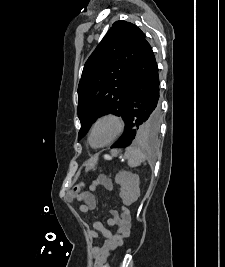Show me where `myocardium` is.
Listing matches in <instances>:
<instances>
[{
    "mask_svg": "<svg viewBox=\"0 0 225 267\" xmlns=\"http://www.w3.org/2000/svg\"><path fill=\"white\" fill-rule=\"evenodd\" d=\"M106 119L114 120L116 122V124H117V130H116L115 134L112 136V138H110L107 142H105L102 145L95 146L91 142V136H92V132L94 130V127L99 122H101L102 120H106ZM125 127H126V122H125V119L123 118L122 115H120L119 113H116V112L104 113V114L100 115L99 117H97L93 121V123L91 124L89 132H88V138H87L88 139V143L94 149L104 148V147L114 143L116 140H118L122 136V134L124 133Z\"/></svg>",
    "mask_w": 225,
    "mask_h": 267,
    "instance_id": "obj_1",
    "label": "myocardium"
}]
</instances>
